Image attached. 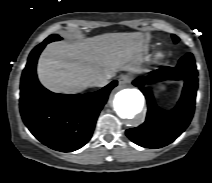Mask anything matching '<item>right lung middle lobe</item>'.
<instances>
[{"mask_svg":"<svg viewBox=\"0 0 212 183\" xmlns=\"http://www.w3.org/2000/svg\"><path fill=\"white\" fill-rule=\"evenodd\" d=\"M48 39H51V42H52V41L60 40L61 38L58 35H50Z\"/></svg>","mask_w":212,"mask_h":183,"instance_id":"obj_1","label":"right lung middle lobe"}]
</instances>
